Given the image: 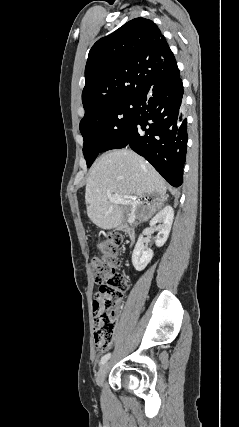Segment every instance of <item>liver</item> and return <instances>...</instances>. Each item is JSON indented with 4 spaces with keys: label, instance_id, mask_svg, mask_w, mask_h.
<instances>
[{
    "label": "liver",
    "instance_id": "obj_1",
    "mask_svg": "<svg viewBox=\"0 0 239 427\" xmlns=\"http://www.w3.org/2000/svg\"><path fill=\"white\" fill-rule=\"evenodd\" d=\"M139 197L155 195L149 216L162 207L166 182L149 163L129 149L113 150L93 164L86 184L85 201L89 219L99 228L118 227L129 215H135L134 203L110 202L108 195ZM132 205V207H129Z\"/></svg>",
    "mask_w": 239,
    "mask_h": 427
}]
</instances>
